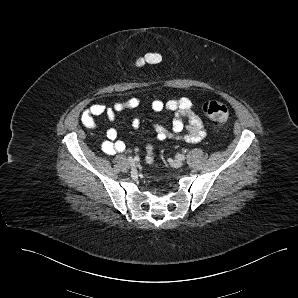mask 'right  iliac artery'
<instances>
[{"label": "right iliac artery", "mask_w": 298, "mask_h": 298, "mask_svg": "<svg viewBox=\"0 0 298 298\" xmlns=\"http://www.w3.org/2000/svg\"><path fill=\"white\" fill-rule=\"evenodd\" d=\"M134 160H135V161H139V157H138V156H135V157H134Z\"/></svg>", "instance_id": "82829eb1"}]
</instances>
